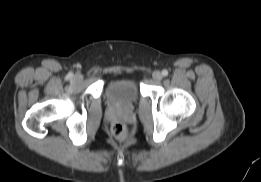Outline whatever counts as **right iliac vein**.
Masks as SVG:
<instances>
[{"label":"right iliac vein","mask_w":261,"mask_h":182,"mask_svg":"<svg viewBox=\"0 0 261 182\" xmlns=\"http://www.w3.org/2000/svg\"><path fill=\"white\" fill-rule=\"evenodd\" d=\"M74 81L81 82L83 80V76L81 74H76L73 77Z\"/></svg>","instance_id":"right-iliac-vein-1"}]
</instances>
